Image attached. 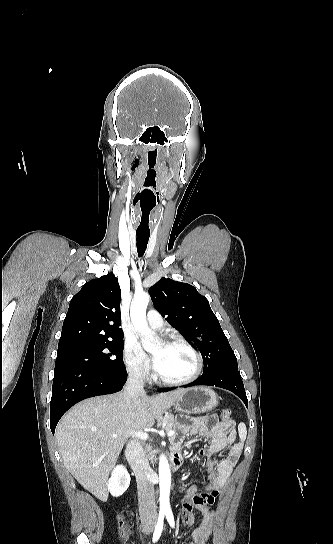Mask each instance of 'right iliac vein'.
Returning a JSON list of instances; mask_svg holds the SVG:
<instances>
[{"instance_id": "63e3f726", "label": "right iliac vein", "mask_w": 333, "mask_h": 544, "mask_svg": "<svg viewBox=\"0 0 333 544\" xmlns=\"http://www.w3.org/2000/svg\"><path fill=\"white\" fill-rule=\"evenodd\" d=\"M152 529H153V524L150 523V522H147L144 524V527H143V530L146 534H150L152 532Z\"/></svg>"}]
</instances>
